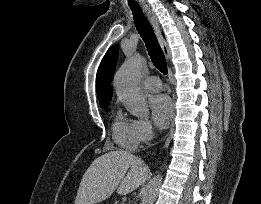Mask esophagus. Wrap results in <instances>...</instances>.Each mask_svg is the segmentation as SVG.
<instances>
[{
	"mask_svg": "<svg viewBox=\"0 0 261 204\" xmlns=\"http://www.w3.org/2000/svg\"><path fill=\"white\" fill-rule=\"evenodd\" d=\"M143 9H144L145 13L147 14V17L149 18L151 24L154 27L156 36L158 38V41L160 43V46H161V48L163 50V53H164L166 59L168 61H170V58H171L170 49H169L168 44H167V42L165 41V39H164V37L162 35L161 29H160V24H159V22L157 20L156 15L151 11V9L147 5H144ZM171 135H172V131L169 133V135H168V137L166 139V146L169 145Z\"/></svg>",
	"mask_w": 261,
	"mask_h": 204,
	"instance_id": "1",
	"label": "esophagus"
}]
</instances>
